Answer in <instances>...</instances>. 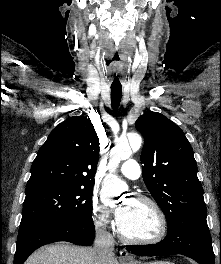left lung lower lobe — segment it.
<instances>
[{
    "mask_svg": "<svg viewBox=\"0 0 221 264\" xmlns=\"http://www.w3.org/2000/svg\"><path fill=\"white\" fill-rule=\"evenodd\" d=\"M140 256H167L182 254L199 264H214L215 258L207 222L175 223L168 227L164 240L152 245L127 246Z\"/></svg>",
    "mask_w": 221,
    "mask_h": 264,
    "instance_id": "left-lung-lower-lobe-1",
    "label": "left lung lower lobe"
}]
</instances>
